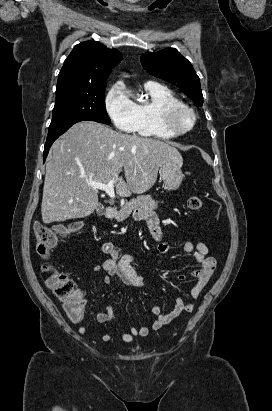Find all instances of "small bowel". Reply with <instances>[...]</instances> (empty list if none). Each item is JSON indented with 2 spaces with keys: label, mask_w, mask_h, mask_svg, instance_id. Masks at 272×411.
Instances as JSON below:
<instances>
[{
  "label": "small bowel",
  "mask_w": 272,
  "mask_h": 411,
  "mask_svg": "<svg viewBox=\"0 0 272 411\" xmlns=\"http://www.w3.org/2000/svg\"><path fill=\"white\" fill-rule=\"evenodd\" d=\"M136 218L147 224L153 239L157 242V252L161 255L166 254L170 249V245L163 241V233L156 215L148 209H140L136 213ZM101 249L107 257L101 265L92 266L91 270L95 273L105 272L103 277L104 283L109 284L113 277H119L128 286L135 288H142L144 286L143 279L136 272L134 256H121L120 252L111 242H104ZM182 249L184 252L192 255L197 264V268L191 273L196 282L190 292L191 297L196 300L208 284L210 277L216 269L217 262L215 258L208 256V247L203 242L193 243L191 241H184ZM194 307L195 303L193 301L185 302L180 297L176 299L174 308L168 313H163L161 306L154 305L151 308V312L156 318L151 328L159 330L177 318L183 311L190 312ZM95 318L98 322L107 323L116 321L117 316L113 307L107 306L104 312L96 313ZM78 331L81 335L88 333V329L85 326H81ZM148 334V327H130L126 332L122 333L121 338L125 343H133L136 337H145ZM101 339L104 342H108L112 337L110 334L105 333L101 336Z\"/></svg>",
  "instance_id": "small-bowel-1"
}]
</instances>
